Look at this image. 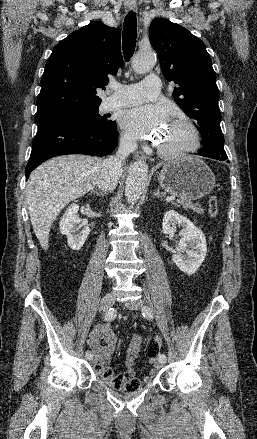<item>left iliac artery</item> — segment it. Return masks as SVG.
<instances>
[{
    "instance_id": "1",
    "label": "left iliac artery",
    "mask_w": 257,
    "mask_h": 439,
    "mask_svg": "<svg viewBox=\"0 0 257 439\" xmlns=\"http://www.w3.org/2000/svg\"><path fill=\"white\" fill-rule=\"evenodd\" d=\"M142 314L145 318L147 319H152L153 318V313L151 308H149L148 306H144L142 309ZM159 361H163L166 362V356L165 354H159Z\"/></svg>"
}]
</instances>
